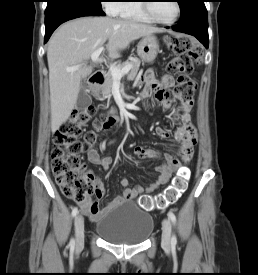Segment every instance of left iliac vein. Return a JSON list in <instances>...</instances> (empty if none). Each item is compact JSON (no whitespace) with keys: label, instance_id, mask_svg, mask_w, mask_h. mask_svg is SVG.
<instances>
[{"label":"left iliac vein","instance_id":"left-iliac-vein-1","mask_svg":"<svg viewBox=\"0 0 258 275\" xmlns=\"http://www.w3.org/2000/svg\"><path fill=\"white\" fill-rule=\"evenodd\" d=\"M172 226L169 219H164L162 224V248L169 251L171 247Z\"/></svg>","mask_w":258,"mask_h":275}]
</instances>
